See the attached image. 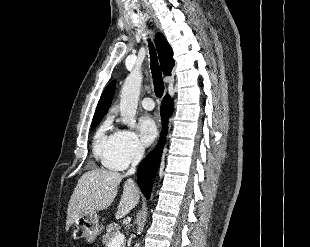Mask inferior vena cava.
<instances>
[{"mask_svg":"<svg viewBox=\"0 0 310 247\" xmlns=\"http://www.w3.org/2000/svg\"><path fill=\"white\" fill-rule=\"evenodd\" d=\"M143 155H144V148L141 145H137L132 154L131 168L127 171V174L135 173L136 166L143 158Z\"/></svg>","mask_w":310,"mask_h":247,"instance_id":"inferior-vena-cava-1","label":"inferior vena cava"}]
</instances>
